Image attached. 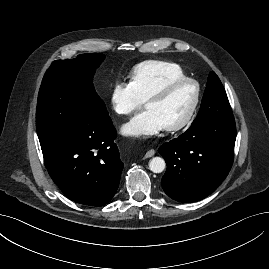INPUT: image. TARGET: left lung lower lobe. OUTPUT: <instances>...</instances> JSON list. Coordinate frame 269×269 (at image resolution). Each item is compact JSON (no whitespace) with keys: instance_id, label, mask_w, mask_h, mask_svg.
<instances>
[{"instance_id":"obj_1","label":"left lung lower lobe","mask_w":269,"mask_h":269,"mask_svg":"<svg viewBox=\"0 0 269 269\" xmlns=\"http://www.w3.org/2000/svg\"><path fill=\"white\" fill-rule=\"evenodd\" d=\"M234 116L192 123L178 138L160 146L167 170L164 192L179 202L199 201L211 194L228 175L234 155Z\"/></svg>"}]
</instances>
